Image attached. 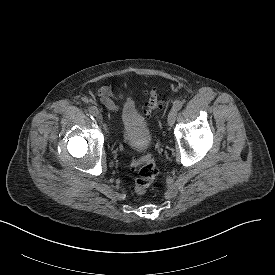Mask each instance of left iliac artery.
<instances>
[{"label": "left iliac artery", "instance_id": "1", "mask_svg": "<svg viewBox=\"0 0 275 275\" xmlns=\"http://www.w3.org/2000/svg\"><path fill=\"white\" fill-rule=\"evenodd\" d=\"M183 106V102L180 100H176L173 104V108L176 110H180Z\"/></svg>", "mask_w": 275, "mask_h": 275}]
</instances>
